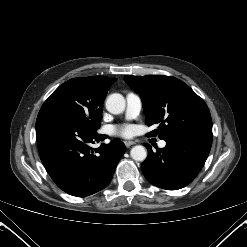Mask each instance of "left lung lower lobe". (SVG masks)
<instances>
[{
  "instance_id": "obj_1",
  "label": "left lung lower lobe",
  "mask_w": 247,
  "mask_h": 247,
  "mask_svg": "<svg viewBox=\"0 0 247 247\" xmlns=\"http://www.w3.org/2000/svg\"><path fill=\"white\" fill-rule=\"evenodd\" d=\"M166 146L148 156L141 169L155 186L177 190L191 183L202 169L212 145V128L188 129L165 137Z\"/></svg>"
}]
</instances>
